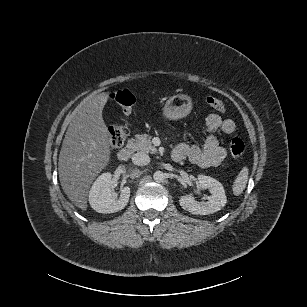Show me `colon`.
<instances>
[{
	"label": "colon",
	"instance_id": "5ec220e1",
	"mask_svg": "<svg viewBox=\"0 0 307 307\" xmlns=\"http://www.w3.org/2000/svg\"><path fill=\"white\" fill-rule=\"evenodd\" d=\"M110 98L122 107L123 112L126 116H129L131 114L133 106L136 102V97L131 90L129 89L116 90L110 94ZM205 102L211 108L221 113L226 112V107L224 103L220 99L214 96H207L205 98ZM128 133L129 129L127 124L125 123L110 127L108 132L110 145L114 148L122 146L128 136ZM230 152L235 159L240 160L243 157L245 152V144L242 141V139L240 138L232 139L230 143Z\"/></svg>",
	"mask_w": 307,
	"mask_h": 307
}]
</instances>
